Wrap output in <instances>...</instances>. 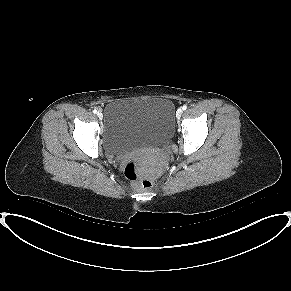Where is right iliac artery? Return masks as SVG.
<instances>
[{
    "instance_id": "obj_1",
    "label": "right iliac artery",
    "mask_w": 291,
    "mask_h": 291,
    "mask_svg": "<svg viewBox=\"0 0 291 291\" xmlns=\"http://www.w3.org/2000/svg\"><path fill=\"white\" fill-rule=\"evenodd\" d=\"M93 113H94V114H96V113H97V110H96V109H94V110H93Z\"/></svg>"
}]
</instances>
